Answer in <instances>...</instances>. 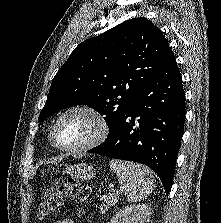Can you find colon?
<instances>
[{
    "label": "colon",
    "mask_w": 221,
    "mask_h": 223,
    "mask_svg": "<svg viewBox=\"0 0 221 223\" xmlns=\"http://www.w3.org/2000/svg\"><path fill=\"white\" fill-rule=\"evenodd\" d=\"M89 196V187L82 184L77 179L68 178L65 181L60 180L40 201L37 212L38 218L46 219L52 216L62 205L63 200L67 197L74 198L76 203L80 206L78 215H83L85 213Z\"/></svg>",
    "instance_id": "1"
}]
</instances>
